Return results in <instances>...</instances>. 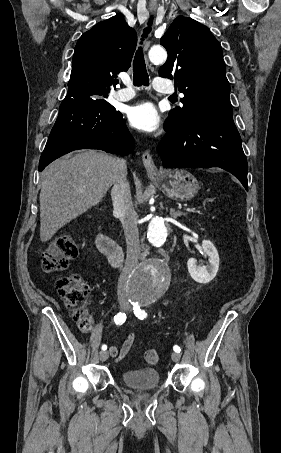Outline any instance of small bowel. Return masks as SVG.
Returning a JSON list of instances; mask_svg holds the SVG:
<instances>
[{
	"label": "small bowel",
	"instance_id": "1",
	"mask_svg": "<svg viewBox=\"0 0 281 453\" xmlns=\"http://www.w3.org/2000/svg\"><path fill=\"white\" fill-rule=\"evenodd\" d=\"M134 341V334H130L120 349H118L116 346H111L109 347L108 351L111 355L115 356L117 360L121 361L131 352Z\"/></svg>",
	"mask_w": 281,
	"mask_h": 453
}]
</instances>
